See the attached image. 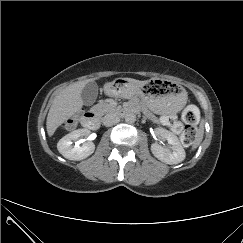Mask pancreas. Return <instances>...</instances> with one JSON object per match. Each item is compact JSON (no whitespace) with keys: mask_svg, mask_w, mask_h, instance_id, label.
Here are the masks:
<instances>
[{"mask_svg":"<svg viewBox=\"0 0 243 243\" xmlns=\"http://www.w3.org/2000/svg\"><path fill=\"white\" fill-rule=\"evenodd\" d=\"M98 110H102L103 112H107L111 109V105L109 103H100L96 106Z\"/></svg>","mask_w":243,"mask_h":243,"instance_id":"cf45deb5","label":"pancreas"}]
</instances>
